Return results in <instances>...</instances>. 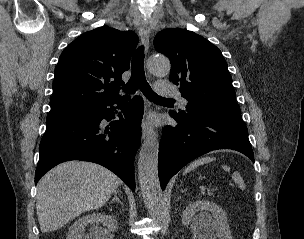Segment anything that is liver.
<instances>
[{
	"instance_id": "obj_1",
	"label": "liver",
	"mask_w": 304,
	"mask_h": 239,
	"mask_svg": "<svg viewBox=\"0 0 304 239\" xmlns=\"http://www.w3.org/2000/svg\"><path fill=\"white\" fill-rule=\"evenodd\" d=\"M120 179L91 162L59 164L38 183L36 210L42 233L57 230L81 213L103 206Z\"/></svg>"
}]
</instances>
